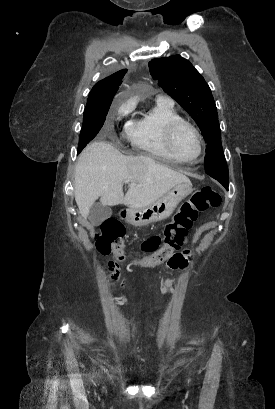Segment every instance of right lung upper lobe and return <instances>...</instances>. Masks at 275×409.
I'll list each match as a JSON object with an SVG mask.
<instances>
[{"label":"right lung upper lobe","instance_id":"cb5924a9","mask_svg":"<svg viewBox=\"0 0 275 409\" xmlns=\"http://www.w3.org/2000/svg\"><path fill=\"white\" fill-rule=\"evenodd\" d=\"M126 72V69L120 70L96 83L89 93L86 106L100 107L111 105Z\"/></svg>","mask_w":275,"mask_h":409}]
</instances>
